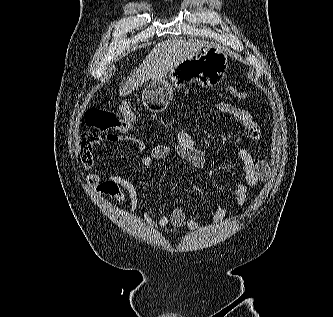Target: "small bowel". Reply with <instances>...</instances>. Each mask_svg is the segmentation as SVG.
I'll use <instances>...</instances> for the list:
<instances>
[{"label":"small bowel","instance_id":"small-bowel-1","mask_svg":"<svg viewBox=\"0 0 333 317\" xmlns=\"http://www.w3.org/2000/svg\"><path fill=\"white\" fill-rule=\"evenodd\" d=\"M216 108L225 114L231 116L234 123L245 128L252 139H259L261 129L256 123L252 114L238 106L228 102H219ZM106 140L110 142L130 141L135 143L140 150L145 149L144 143L127 134H106ZM101 142V137L93 132L84 133L80 139V159L82 164L90 171L87 182L92 190L99 196H107L116 200L122 208L126 206L127 201L130 204L131 211L135 213L138 208V193L134 185L127 179L121 177L117 170L110 173L106 179H102L95 170V160L93 148ZM176 154L182 160L190 163L195 168H202L205 165V155L200 150L193 136L185 129H180L173 144H157L153 146L148 154L140 160L142 168H151L156 161L167 160L171 154ZM235 156L242 163L244 179H238L235 183V201L240 207L244 206L247 200L249 188L264 182L269 175V165L264 160L255 161L250 152L244 148H235ZM226 215V209L219 205L213 215L212 221L219 225ZM147 222L152 228H163L172 226L175 228L187 227L190 230L198 231L200 225L198 222L188 216L185 211L176 206L170 213H164L158 220H153L146 215Z\"/></svg>","mask_w":333,"mask_h":317}]
</instances>
